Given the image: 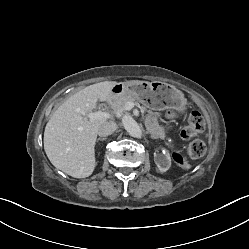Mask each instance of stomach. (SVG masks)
Returning a JSON list of instances; mask_svg holds the SVG:
<instances>
[{
    "label": "stomach",
    "instance_id": "1",
    "mask_svg": "<svg viewBox=\"0 0 249 249\" xmlns=\"http://www.w3.org/2000/svg\"><path fill=\"white\" fill-rule=\"evenodd\" d=\"M115 95H130L152 110L174 109L184 112L186 99L184 94L174 86L160 81H138L116 83L112 87Z\"/></svg>",
    "mask_w": 249,
    "mask_h": 249
}]
</instances>
